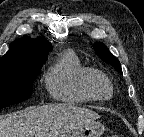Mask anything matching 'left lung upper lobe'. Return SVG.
Wrapping results in <instances>:
<instances>
[{
	"label": "left lung upper lobe",
	"mask_w": 144,
	"mask_h": 137,
	"mask_svg": "<svg viewBox=\"0 0 144 137\" xmlns=\"http://www.w3.org/2000/svg\"><path fill=\"white\" fill-rule=\"evenodd\" d=\"M94 49L97 55L107 63L111 64L115 69L122 74L121 65L116 57H114L102 43H95Z\"/></svg>",
	"instance_id": "left-lung-upper-lobe-1"
}]
</instances>
